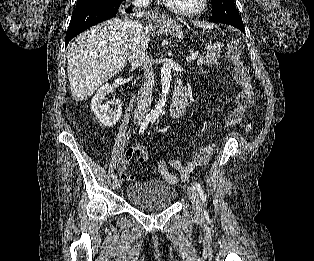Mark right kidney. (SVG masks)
I'll list each match as a JSON object with an SVG mask.
<instances>
[{"label": "right kidney", "mask_w": 314, "mask_h": 261, "mask_svg": "<svg viewBox=\"0 0 314 261\" xmlns=\"http://www.w3.org/2000/svg\"><path fill=\"white\" fill-rule=\"evenodd\" d=\"M112 91L110 84L106 83L103 85L92 98L91 109L94 112L96 118L106 127H112L118 122L122 115V104L119 99H114L110 104H113L115 107L114 110L110 109V104H103V100L106 94Z\"/></svg>", "instance_id": "1"}]
</instances>
